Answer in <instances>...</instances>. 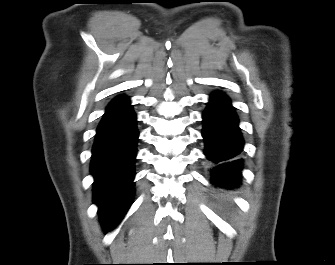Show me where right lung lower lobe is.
<instances>
[{
	"label": "right lung lower lobe",
	"instance_id": "right-lung-lower-lobe-1",
	"mask_svg": "<svg viewBox=\"0 0 335 265\" xmlns=\"http://www.w3.org/2000/svg\"><path fill=\"white\" fill-rule=\"evenodd\" d=\"M129 98L118 96L108 105L92 149L94 202L105 231L113 229L131 205L138 131Z\"/></svg>",
	"mask_w": 335,
	"mask_h": 265
}]
</instances>
